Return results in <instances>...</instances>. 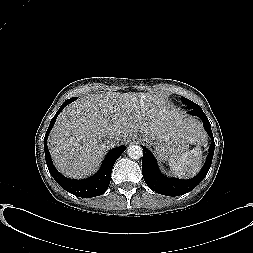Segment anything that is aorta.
<instances>
[{"instance_id":"762f6f07","label":"aorta","mask_w":253,"mask_h":253,"mask_svg":"<svg viewBox=\"0 0 253 253\" xmlns=\"http://www.w3.org/2000/svg\"><path fill=\"white\" fill-rule=\"evenodd\" d=\"M127 154L131 159H140L143 156V149L139 145H131L127 150Z\"/></svg>"}]
</instances>
